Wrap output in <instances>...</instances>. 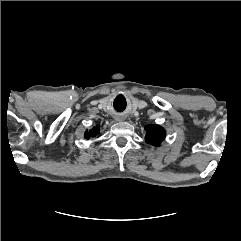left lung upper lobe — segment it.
Segmentation results:
<instances>
[{
  "label": "left lung upper lobe",
  "mask_w": 241,
  "mask_h": 241,
  "mask_svg": "<svg viewBox=\"0 0 241 241\" xmlns=\"http://www.w3.org/2000/svg\"><path fill=\"white\" fill-rule=\"evenodd\" d=\"M144 129L146 130L145 140L149 144L158 146L165 139L166 131L159 125H147Z\"/></svg>",
  "instance_id": "obj_1"
}]
</instances>
